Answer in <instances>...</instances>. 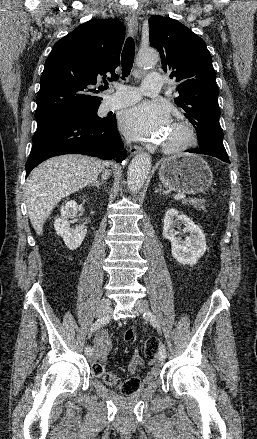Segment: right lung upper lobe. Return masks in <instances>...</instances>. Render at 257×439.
I'll return each mask as SVG.
<instances>
[{"label":"right lung upper lobe","mask_w":257,"mask_h":439,"mask_svg":"<svg viewBox=\"0 0 257 439\" xmlns=\"http://www.w3.org/2000/svg\"><path fill=\"white\" fill-rule=\"evenodd\" d=\"M125 30L115 19H93L55 43L36 99V120L99 107L94 86L117 76Z\"/></svg>","instance_id":"obj_1"}]
</instances>
